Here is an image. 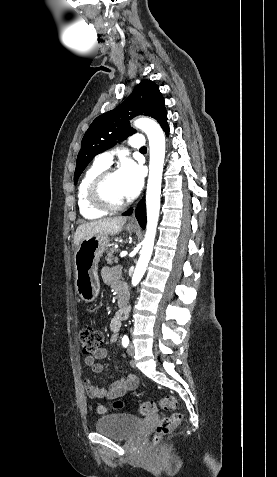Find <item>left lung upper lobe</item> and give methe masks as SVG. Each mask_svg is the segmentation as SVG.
Instances as JSON below:
<instances>
[{
	"label": "left lung upper lobe",
	"mask_w": 277,
	"mask_h": 477,
	"mask_svg": "<svg viewBox=\"0 0 277 477\" xmlns=\"http://www.w3.org/2000/svg\"><path fill=\"white\" fill-rule=\"evenodd\" d=\"M138 115L151 116L161 127L167 122L164 98L151 80L138 84L131 95L116 109L97 117L85 133L77 156L74 183L89 162L135 132L129 120Z\"/></svg>",
	"instance_id": "5c2ea615"
}]
</instances>
